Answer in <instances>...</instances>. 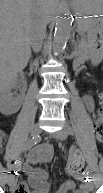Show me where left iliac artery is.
<instances>
[{"label": "left iliac artery", "mask_w": 103, "mask_h": 193, "mask_svg": "<svg viewBox=\"0 0 103 193\" xmlns=\"http://www.w3.org/2000/svg\"><path fill=\"white\" fill-rule=\"evenodd\" d=\"M66 132L68 134H70V135L74 134V130L70 126H66ZM86 171H87V179H88V181L89 182L93 181L94 180V176H93L92 170H91V168L89 166H87Z\"/></svg>", "instance_id": "44dca946"}]
</instances>
